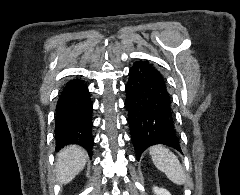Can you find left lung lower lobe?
<instances>
[{
	"mask_svg": "<svg viewBox=\"0 0 240 195\" xmlns=\"http://www.w3.org/2000/svg\"><path fill=\"white\" fill-rule=\"evenodd\" d=\"M128 76L125 106L136 159L155 144L181 152L174 130L171 99L162 74L148 61H139L133 64Z\"/></svg>",
	"mask_w": 240,
	"mask_h": 195,
	"instance_id": "left-lung-lower-lobe-1",
	"label": "left lung lower lobe"
}]
</instances>
